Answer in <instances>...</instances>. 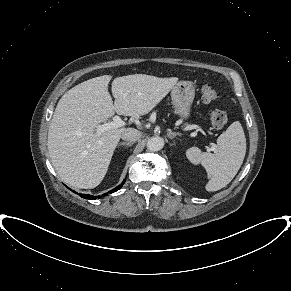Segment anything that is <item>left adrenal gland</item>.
Returning <instances> with one entry per match:
<instances>
[{
  "mask_svg": "<svg viewBox=\"0 0 291 291\" xmlns=\"http://www.w3.org/2000/svg\"><path fill=\"white\" fill-rule=\"evenodd\" d=\"M167 135L170 139H174L176 136H180V133H175V132H172L171 130H168Z\"/></svg>",
  "mask_w": 291,
  "mask_h": 291,
  "instance_id": "obj_1",
  "label": "left adrenal gland"
}]
</instances>
